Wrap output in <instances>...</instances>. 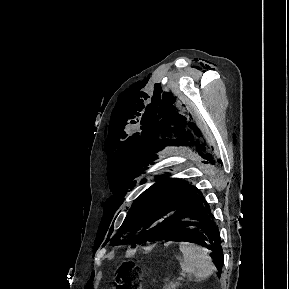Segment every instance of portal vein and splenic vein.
<instances>
[{"label": "portal vein and splenic vein", "mask_w": 289, "mask_h": 289, "mask_svg": "<svg viewBox=\"0 0 289 289\" xmlns=\"http://www.w3.org/2000/svg\"><path fill=\"white\" fill-rule=\"evenodd\" d=\"M181 280H183V277H178L177 281L180 282Z\"/></svg>", "instance_id": "18ae733b"}]
</instances>
